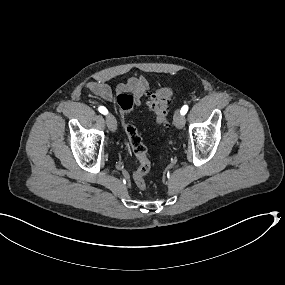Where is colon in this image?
<instances>
[{
	"label": "colon",
	"mask_w": 285,
	"mask_h": 285,
	"mask_svg": "<svg viewBox=\"0 0 285 285\" xmlns=\"http://www.w3.org/2000/svg\"><path fill=\"white\" fill-rule=\"evenodd\" d=\"M173 96V91L170 88H159L155 90L149 98L148 108L154 113L156 123L158 125L167 124L168 105ZM117 104L120 109L124 129L134 156L139 164L133 174V179L136 186L141 189H146V176L150 172L151 163L147 155V148L143 142L137 128L127 121V115L133 110L136 105V97L131 92H121L118 94Z\"/></svg>",
	"instance_id": "colon-1"
}]
</instances>
